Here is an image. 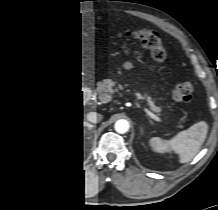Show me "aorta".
Masks as SVG:
<instances>
[{"label":"aorta","mask_w":218,"mask_h":210,"mask_svg":"<svg viewBox=\"0 0 218 210\" xmlns=\"http://www.w3.org/2000/svg\"><path fill=\"white\" fill-rule=\"evenodd\" d=\"M114 128H115L116 132L123 134L129 130V123L125 119H120V120L116 121Z\"/></svg>","instance_id":"762f6f07"}]
</instances>
